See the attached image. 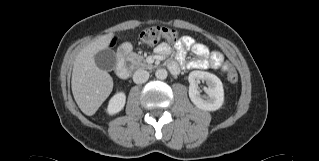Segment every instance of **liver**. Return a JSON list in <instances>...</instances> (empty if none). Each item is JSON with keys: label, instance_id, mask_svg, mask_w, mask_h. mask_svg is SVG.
Here are the masks:
<instances>
[{"label": "liver", "instance_id": "1", "mask_svg": "<svg viewBox=\"0 0 319 161\" xmlns=\"http://www.w3.org/2000/svg\"><path fill=\"white\" fill-rule=\"evenodd\" d=\"M114 34L100 36L84 47L77 55L72 71L71 88L81 111L91 116L108 98L113 89V79L97 67L94 55L106 49Z\"/></svg>", "mask_w": 319, "mask_h": 161}]
</instances>
